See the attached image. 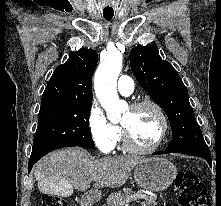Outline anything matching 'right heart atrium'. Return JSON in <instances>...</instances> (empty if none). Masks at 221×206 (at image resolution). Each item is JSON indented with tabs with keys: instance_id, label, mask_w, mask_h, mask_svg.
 Masks as SVG:
<instances>
[{
	"instance_id": "1",
	"label": "right heart atrium",
	"mask_w": 221,
	"mask_h": 206,
	"mask_svg": "<svg viewBox=\"0 0 221 206\" xmlns=\"http://www.w3.org/2000/svg\"><path fill=\"white\" fill-rule=\"evenodd\" d=\"M88 128L94 144L104 154L110 153L115 148L121 135L120 128L107 119L96 102L90 107Z\"/></svg>"
}]
</instances>
